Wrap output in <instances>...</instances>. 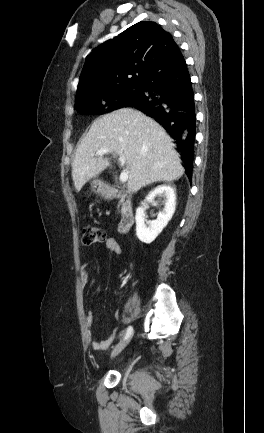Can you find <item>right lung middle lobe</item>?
I'll return each instance as SVG.
<instances>
[{
    "instance_id": "1",
    "label": "right lung middle lobe",
    "mask_w": 264,
    "mask_h": 433,
    "mask_svg": "<svg viewBox=\"0 0 264 433\" xmlns=\"http://www.w3.org/2000/svg\"><path fill=\"white\" fill-rule=\"evenodd\" d=\"M139 93V84L123 85L94 97L78 100L74 108L83 114H104L121 108Z\"/></svg>"
}]
</instances>
